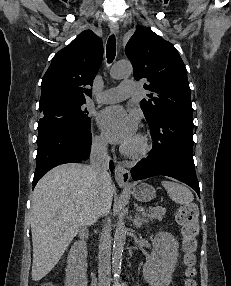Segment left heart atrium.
Instances as JSON below:
<instances>
[{
	"instance_id": "39dd6f15",
	"label": "left heart atrium",
	"mask_w": 231,
	"mask_h": 286,
	"mask_svg": "<svg viewBox=\"0 0 231 286\" xmlns=\"http://www.w3.org/2000/svg\"><path fill=\"white\" fill-rule=\"evenodd\" d=\"M97 122L112 143L128 146L136 138L137 120L121 106L103 109Z\"/></svg>"
}]
</instances>
